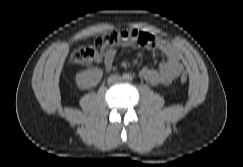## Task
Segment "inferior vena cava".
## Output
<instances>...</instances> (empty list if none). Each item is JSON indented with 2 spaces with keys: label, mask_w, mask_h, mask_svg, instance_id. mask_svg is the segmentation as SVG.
I'll return each instance as SVG.
<instances>
[{
  "label": "inferior vena cava",
  "mask_w": 243,
  "mask_h": 167,
  "mask_svg": "<svg viewBox=\"0 0 243 167\" xmlns=\"http://www.w3.org/2000/svg\"><path fill=\"white\" fill-rule=\"evenodd\" d=\"M121 79L122 78L118 75H112L108 78V84L112 85V84L119 83Z\"/></svg>",
  "instance_id": "1"
}]
</instances>
